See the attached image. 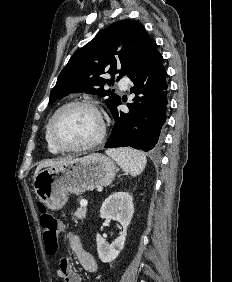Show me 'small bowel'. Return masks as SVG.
<instances>
[{"instance_id":"obj_1","label":"small bowel","mask_w":232,"mask_h":282,"mask_svg":"<svg viewBox=\"0 0 232 282\" xmlns=\"http://www.w3.org/2000/svg\"><path fill=\"white\" fill-rule=\"evenodd\" d=\"M64 241L68 243L72 253L85 271L90 273L97 271L98 266L95 258L83 248L81 238L77 233H66ZM57 275L64 282H81L80 275L72 268L67 258L60 260Z\"/></svg>"}]
</instances>
